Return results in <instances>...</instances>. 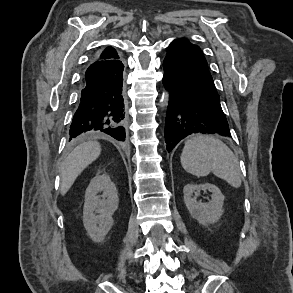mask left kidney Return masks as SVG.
I'll return each mask as SVG.
<instances>
[{"label":"left kidney","mask_w":293,"mask_h":293,"mask_svg":"<svg viewBox=\"0 0 293 293\" xmlns=\"http://www.w3.org/2000/svg\"><path fill=\"white\" fill-rule=\"evenodd\" d=\"M209 191L212 193L208 203L198 202L192 195L194 192ZM184 202L191 216L201 224L217 222L224 210V195L214 184H187L183 188Z\"/></svg>","instance_id":"obj_1"}]
</instances>
